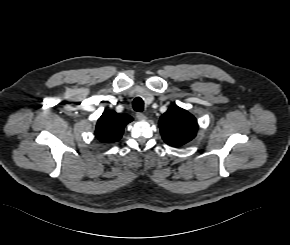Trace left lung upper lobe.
Segmentation results:
<instances>
[{"label":"left lung upper lobe","instance_id":"1","mask_svg":"<svg viewBox=\"0 0 290 245\" xmlns=\"http://www.w3.org/2000/svg\"><path fill=\"white\" fill-rule=\"evenodd\" d=\"M163 140L170 146L179 147L191 141L197 132V120L188 111L172 106L159 121Z\"/></svg>","mask_w":290,"mask_h":245}]
</instances>
